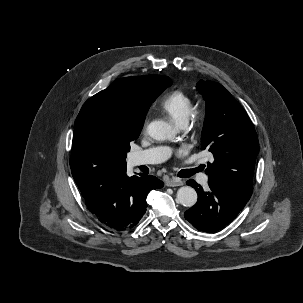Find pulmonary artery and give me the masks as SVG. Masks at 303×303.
Segmentation results:
<instances>
[{"mask_svg":"<svg viewBox=\"0 0 303 303\" xmlns=\"http://www.w3.org/2000/svg\"><path fill=\"white\" fill-rule=\"evenodd\" d=\"M184 126V125H182ZM171 150L168 147H155L139 152H135L131 155L130 161L134 166L157 164L165 161L170 156ZM199 182L206 186L208 183V176L202 174L199 176Z\"/></svg>","mask_w":303,"mask_h":303,"instance_id":"1","label":"pulmonary artery"}]
</instances>
